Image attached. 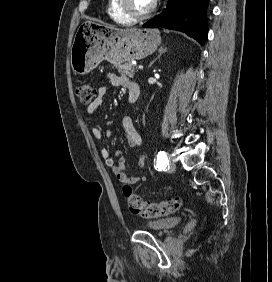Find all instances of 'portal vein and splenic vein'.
<instances>
[{
    "mask_svg": "<svg viewBox=\"0 0 272 282\" xmlns=\"http://www.w3.org/2000/svg\"><path fill=\"white\" fill-rule=\"evenodd\" d=\"M138 69L143 70V66H142V65H139V66H138Z\"/></svg>",
    "mask_w": 272,
    "mask_h": 282,
    "instance_id": "1",
    "label": "portal vein and splenic vein"
}]
</instances>
